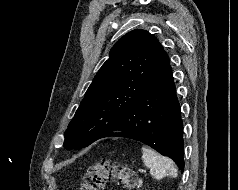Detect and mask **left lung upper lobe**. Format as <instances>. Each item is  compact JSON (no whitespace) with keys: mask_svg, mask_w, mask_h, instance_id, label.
I'll use <instances>...</instances> for the list:
<instances>
[{"mask_svg":"<svg viewBox=\"0 0 238 190\" xmlns=\"http://www.w3.org/2000/svg\"><path fill=\"white\" fill-rule=\"evenodd\" d=\"M169 65L149 32H128L112 47L65 132L64 146L81 149L109 133L120 117Z\"/></svg>","mask_w":238,"mask_h":190,"instance_id":"5c2ea615","label":"left lung upper lobe"}]
</instances>
